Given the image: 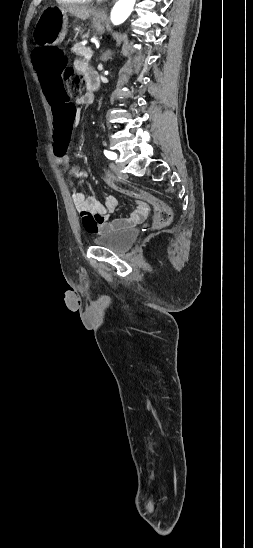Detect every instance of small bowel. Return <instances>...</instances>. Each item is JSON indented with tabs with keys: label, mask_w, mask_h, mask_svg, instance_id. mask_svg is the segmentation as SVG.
Returning a JSON list of instances; mask_svg holds the SVG:
<instances>
[{
	"label": "small bowel",
	"mask_w": 253,
	"mask_h": 548,
	"mask_svg": "<svg viewBox=\"0 0 253 548\" xmlns=\"http://www.w3.org/2000/svg\"><path fill=\"white\" fill-rule=\"evenodd\" d=\"M76 68L85 75L86 79L91 75H95L94 71L84 62L78 61L76 63ZM64 72L65 70L63 71V76ZM93 100L94 96L90 92L79 96L74 104L76 112L78 109L90 105ZM69 141L70 139L67 140L68 143ZM55 161L60 165L66 166L70 175L78 179H85L87 177L85 171L81 170L78 166L71 164L68 156V149L65 150V156L62 159H57L55 157ZM72 199L76 209L82 213V221L86 231L97 235L132 227L142 222L149 212V208L145 202L137 201L129 216L111 219L110 216L116 211L118 205L114 196L108 195L101 201L95 196L86 195L83 191H76L73 192Z\"/></svg>",
	"instance_id": "obj_1"
}]
</instances>
